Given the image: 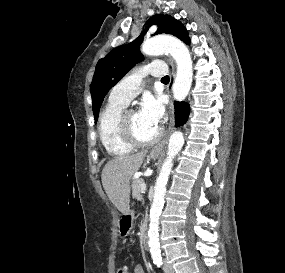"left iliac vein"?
<instances>
[{
    "label": "left iliac vein",
    "instance_id": "left-iliac-vein-1",
    "mask_svg": "<svg viewBox=\"0 0 285 273\" xmlns=\"http://www.w3.org/2000/svg\"><path fill=\"white\" fill-rule=\"evenodd\" d=\"M163 269L165 273H175L173 267L167 264L165 261H164Z\"/></svg>",
    "mask_w": 285,
    "mask_h": 273
}]
</instances>
